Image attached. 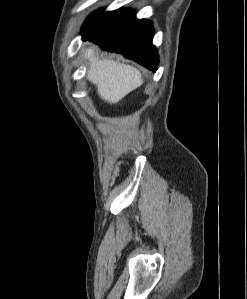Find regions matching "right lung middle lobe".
I'll return each instance as SVG.
<instances>
[{
	"instance_id": "dd1d6c3e",
	"label": "right lung middle lobe",
	"mask_w": 247,
	"mask_h": 299,
	"mask_svg": "<svg viewBox=\"0 0 247 299\" xmlns=\"http://www.w3.org/2000/svg\"><path fill=\"white\" fill-rule=\"evenodd\" d=\"M128 12L129 9H119L107 13H103L102 11L96 12L88 17L82 27L81 33L83 35H93L120 21Z\"/></svg>"
}]
</instances>
